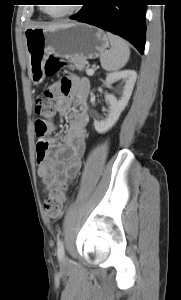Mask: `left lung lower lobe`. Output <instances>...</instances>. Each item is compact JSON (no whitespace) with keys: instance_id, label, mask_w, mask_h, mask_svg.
<instances>
[{"instance_id":"1","label":"left lung lower lobe","mask_w":181,"mask_h":300,"mask_svg":"<svg viewBox=\"0 0 181 300\" xmlns=\"http://www.w3.org/2000/svg\"><path fill=\"white\" fill-rule=\"evenodd\" d=\"M71 19L89 23L128 40L141 54L146 40V0H84Z\"/></svg>"}]
</instances>
